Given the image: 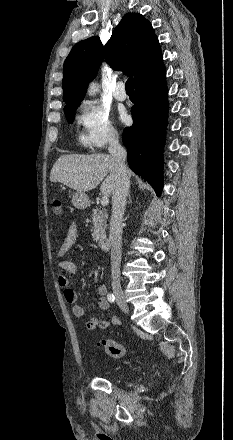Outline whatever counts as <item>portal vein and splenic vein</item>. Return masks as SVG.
Returning a JSON list of instances; mask_svg holds the SVG:
<instances>
[{
  "mask_svg": "<svg viewBox=\"0 0 233 440\" xmlns=\"http://www.w3.org/2000/svg\"><path fill=\"white\" fill-rule=\"evenodd\" d=\"M108 204H109V199H108L107 195H104L101 199V205L107 206Z\"/></svg>",
  "mask_w": 233,
  "mask_h": 440,
  "instance_id": "obj_1",
  "label": "portal vein and splenic vein"
}]
</instances>
